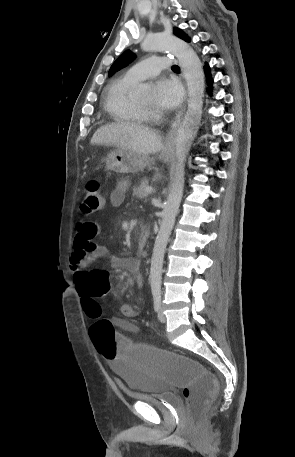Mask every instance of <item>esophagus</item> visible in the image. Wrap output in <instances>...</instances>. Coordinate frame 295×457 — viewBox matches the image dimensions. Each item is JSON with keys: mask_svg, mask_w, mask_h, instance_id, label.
I'll return each instance as SVG.
<instances>
[{"mask_svg": "<svg viewBox=\"0 0 295 457\" xmlns=\"http://www.w3.org/2000/svg\"><path fill=\"white\" fill-rule=\"evenodd\" d=\"M184 110H185V105L183 106V108L179 111V113L176 115L174 121H173V124L171 126V129L169 130L167 136H166V142H165V146H164V152L166 153H169L173 150V144H174V140H175V136L177 134V131H178V128L181 124V121H182V118H183V114H184Z\"/></svg>", "mask_w": 295, "mask_h": 457, "instance_id": "obj_1", "label": "esophagus"}]
</instances>
